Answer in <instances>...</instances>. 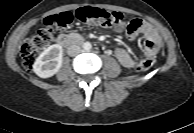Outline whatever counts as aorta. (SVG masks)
Listing matches in <instances>:
<instances>
[{"instance_id": "aorta-1", "label": "aorta", "mask_w": 194, "mask_h": 133, "mask_svg": "<svg viewBox=\"0 0 194 133\" xmlns=\"http://www.w3.org/2000/svg\"><path fill=\"white\" fill-rule=\"evenodd\" d=\"M91 48H92V45H91L90 42H85V43L83 44V49H84L85 51H89Z\"/></svg>"}]
</instances>
